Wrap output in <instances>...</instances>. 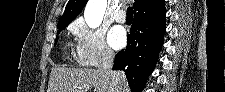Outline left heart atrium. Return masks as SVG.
Returning a JSON list of instances; mask_svg holds the SVG:
<instances>
[{
    "mask_svg": "<svg viewBox=\"0 0 225 92\" xmlns=\"http://www.w3.org/2000/svg\"><path fill=\"white\" fill-rule=\"evenodd\" d=\"M108 39L111 47L120 49L126 43V33L121 27H114L110 30Z\"/></svg>",
    "mask_w": 225,
    "mask_h": 92,
    "instance_id": "1",
    "label": "left heart atrium"
}]
</instances>
